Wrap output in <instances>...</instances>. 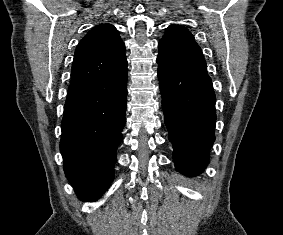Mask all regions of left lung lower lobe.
<instances>
[{
  "label": "left lung lower lobe",
  "mask_w": 283,
  "mask_h": 235,
  "mask_svg": "<svg viewBox=\"0 0 283 235\" xmlns=\"http://www.w3.org/2000/svg\"><path fill=\"white\" fill-rule=\"evenodd\" d=\"M159 64V63H158ZM162 107L177 171L200 174L215 140V94L208 74L158 66Z\"/></svg>",
  "instance_id": "left-lung-lower-lobe-1"
}]
</instances>
